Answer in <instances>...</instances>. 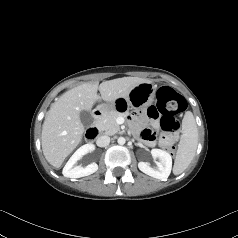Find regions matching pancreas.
I'll use <instances>...</instances> for the list:
<instances>
[{"label": "pancreas", "instance_id": "cf45deb5", "mask_svg": "<svg viewBox=\"0 0 238 238\" xmlns=\"http://www.w3.org/2000/svg\"><path fill=\"white\" fill-rule=\"evenodd\" d=\"M120 116L125 117L126 113H121L115 110L110 111L104 118L97 122L98 130L105 132L107 135H113L120 131V126L116 119Z\"/></svg>", "mask_w": 238, "mask_h": 238}]
</instances>
